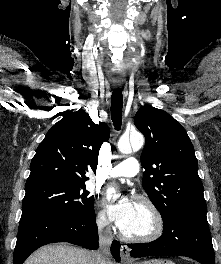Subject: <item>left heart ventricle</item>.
<instances>
[{"instance_id":"obj_1","label":"left heart ventricle","mask_w":221,"mask_h":264,"mask_svg":"<svg viewBox=\"0 0 221 264\" xmlns=\"http://www.w3.org/2000/svg\"><path fill=\"white\" fill-rule=\"evenodd\" d=\"M152 227L153 220L149 211L144 206L137 204L133 218L122 230L129 235H144L149 233Z\"/></svg>"}]
</instances>
